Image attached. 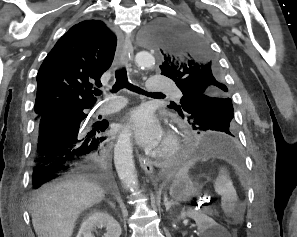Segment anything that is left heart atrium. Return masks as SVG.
Returning <instances> with one entry per match:
<instances>
[{
    "instance_id": "1",
    "label": "left heart atrium",
    "mask_w": 297,
    "mask_h": 237,
    "mask_svg": "<svg viewBox=\"0 0 297 237\" xmlns=\"http://www.w3.org/2000/svg\"><path fill=\"white\" fill-rule=\"evenodd\" d=\"M127 124L139 145L154 148L161 142L160 123L150 110L145 108L133 110L127 118Z\"/></svg>"
}]
</instances>
